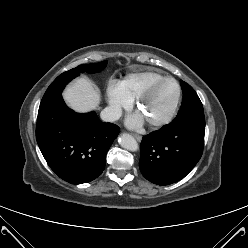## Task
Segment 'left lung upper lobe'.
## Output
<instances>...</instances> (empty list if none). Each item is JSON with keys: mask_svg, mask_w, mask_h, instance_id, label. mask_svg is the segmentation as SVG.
Listing matches in <instances>:
<instances>
[{"mask_svg": "<svg viewBox=\"0 0 248 248\" xmlns=\"http://www.w3.org/2000/svg\"><path fill=\"white\" fill-rule=\"evenodd\" d=\"M183 92V101L177 117H188L197 112H203L202 103L195 90L186 82H180Z\"/></svg>", "mask_w": 248, "mask_h": 248, "instance_id": "left-lung-upper-lobe-1", "label": "left lung upper lobe"}]
</instances>
